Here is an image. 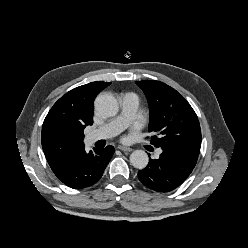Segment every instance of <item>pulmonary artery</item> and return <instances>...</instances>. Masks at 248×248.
I'll list each match as a JSON object with an SVG mask.
<instances>
[{
	"mask_svg": "<svg viewBox=\"0 0 248 248\" xmlns=\"http://www.w3.org/2000/svg\"><path fill=\"white\" fill-rule=\"evenodd\" d=\"M120 101V114L99 128L92 130L87 136L89 142L93 143L98 140L112 138L132 122L139 105L138 97L134 93L128 92L121 95Z\"/></svg>",
	"mask_w": 248,
	"mask_h": 248,
	"instance_id": "e3ab8cb5",
	"label": "pulmonary artery"
}]
</instances>
